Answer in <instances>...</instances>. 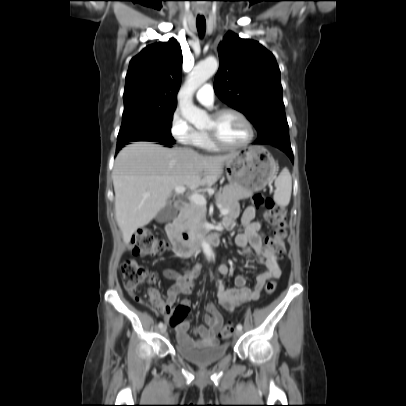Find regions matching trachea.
Instances as JSON below:
<instances>
[{"label":"trachea","mask_w":406,"mask_h":406,"mask_svg":"<svg viewBox=\"0 0 406 406\" xmlns=\"http://www.w3.org/2000/svg\"><path fill=\"white\" fill-rule=\"evenodd\" d=\"M196 25H197V30H198L199 34L201 36H203L204 33H205V30H206V21H205V19L204 18H197Z\"/></svg>","instance_id":"3493384b"}]
</instances>
